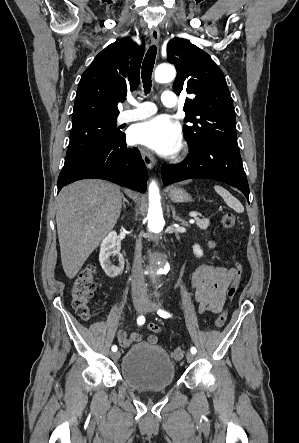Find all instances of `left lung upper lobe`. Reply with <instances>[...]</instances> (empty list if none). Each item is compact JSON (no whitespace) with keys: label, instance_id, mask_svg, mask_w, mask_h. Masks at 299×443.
Wrapping results in <instances>:
<instances>
[{"label":"left lung upper lobe","instance_id":"1","mask_svg":"<svg viewBox=\"0 0 299 443\" xmlns=\"http://www.w3.org/2000/svg\"><path fill=\"white\" fill-rule=\"evenodd\" d=\"M167 60L177 68L174 92L192 94L186 98L183 132L189 146L209 140L237 146L235 111L225 76L210 56L190 43L174 38L167 44Z\"/></svg>","mask_w":299,"mask_h":443}]
</instances>
